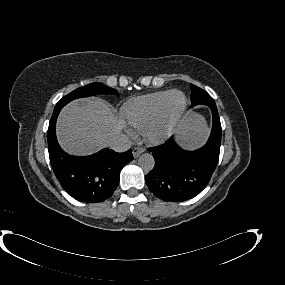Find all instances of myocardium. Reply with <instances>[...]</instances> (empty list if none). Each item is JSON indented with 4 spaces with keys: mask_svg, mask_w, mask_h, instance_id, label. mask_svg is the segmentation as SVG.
Masks as SVG:
<instances>
[{
    "mask_svg": "<svg viewBox=\"0 0 285 285\" xmlns=\"http://www.w3.org/2000/svg\"><path fill=\"white\" fill-rule=\"evenodd\" d=\"M181 97L179 106L174 107L173 98ZM187 108V99L183 92L173 90L167 97L160 115L148 125L144 136L151 144H161L168 140L176 130V127Z\"/></svg>",
    "mask_w": 285,
    "mask_h": 285,
    "instance_id": "obj_1",
    "label": "myocardium"
}]
</instances>
